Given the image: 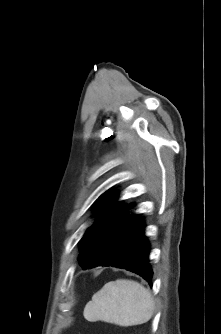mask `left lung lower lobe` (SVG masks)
<instances>
[{"instance_id":"0a47b994","label":"left lung lower lobe","mask_w":221,"mask_h":334,"mask_svg":"<svg viewBox=\"0 0 221 334\" xmlns=\"http://www.w3.org/2000/svg\"><path fill=\"white\" fill-rule=\"evenodd\" d=\"M110 225L94 249V261L86 268L112 266L142 276L152 286L153 272L148 263L150 244L144 236L140 216L128 218L126 210Z\"/></svg>"}]
</instances>
